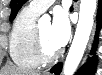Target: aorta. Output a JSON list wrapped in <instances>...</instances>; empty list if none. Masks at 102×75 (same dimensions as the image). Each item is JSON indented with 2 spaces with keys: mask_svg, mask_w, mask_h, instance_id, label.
<instances>
[{
  "mask_svg": "<svg viewBox=\"0 0 102 75\" xmlns=\"http://www.w3.org/2000/svg\"><path fill=\"white\" fill-rule=\"evenodd\" d=\"M96 6L97 0H81L76 32L64 63V75H73L83 57L93 27ZM49 21L50 17L43 15L39 23Z\"/></svg>",
  "mask_w": 102,
  "mask_h": 75,
  "instance_id": "aorta-1",
  "label": "aorta"
}]
</instances>
